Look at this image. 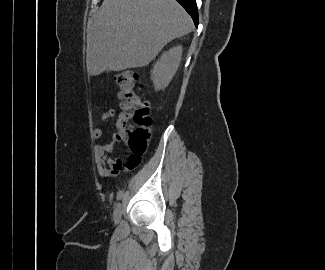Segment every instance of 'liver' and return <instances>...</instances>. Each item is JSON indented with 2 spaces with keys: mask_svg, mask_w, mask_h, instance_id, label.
<instances>
[{
  "mask_svg": "<svg viewBox=\"0 0 325 270\" xmlns=\"http://www.w3.org/2000/svg\"><path fill=\"white\" fill-rule=\"evenodd\" d=\"M192 29V19L175 0H104L88 21L87 72L144 67Z\"/></svg>",
  "mask_w": 325,
  "mask_h": 270,
  "instance_id": "obj_1",
  "label": "liver"
}]
</instances>
